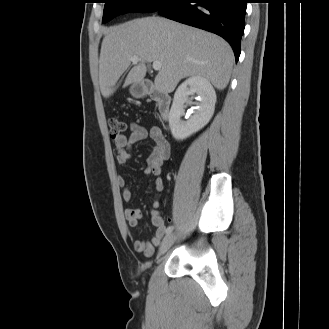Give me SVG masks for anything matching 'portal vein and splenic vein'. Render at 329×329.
Wrapping results in <instances>:
<instances>
[{"mask_svg":"<svg viewBox=\"0 0 329 329\" xmlns=\"http://www.w3.org/2000/svg\"><path fill=\"white\" fill-rule=\"evenodd\" d=\"M131 61H132L134 64H136V63H138L139 58H138L137 56H133V57H131ZM161 67H162V63H161L160 61H154V62L152 63V68H153L154 70H156V71L160 70Z\"/></svg>","mask_w":329,"mask_h":329,"instance_id":"18ae733b","label":"portal vein and splenic vein"}]
</instances>
